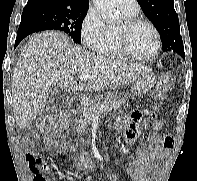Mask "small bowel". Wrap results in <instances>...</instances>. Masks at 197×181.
I'll use <instances>...</instances> for the list:
<instances>
[{"mask_svg": "<svg viewBox=\"0 0 197 181\" xmlns=\"http://www.w3.org/2000/svg\"><path fill=\"white\" fill-rule=\"evenodd\" d=\"M147 110L135 111L131 118H119L116 127L124 131V137L127 144L134 143L137 132L144 122V115ZM162 122L155 119L151 123V134L145 144L136 151V158L130 161L126 166L127 175L134 181H157L158 172L164 156L171 148V137L161 134ZM36 134L30 136L31 140L36 139ZM45 145L49 148L60 149L64 152H73V147L66 142H57L47 138ZM28 160L33 172L36 173L34 181H52V175L49 172V166L44 158L39 154L31 152L28 154ZM78 169L89 172H96V165L87 151H82L75 159ZM107 181H117L115 174L106 175Z\"/></svg>", "mask_w": 197, "mask_h": 181, "instance_id": "1", "label": "small bowel"}]
</instances>
